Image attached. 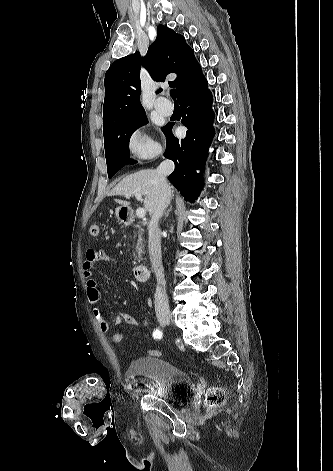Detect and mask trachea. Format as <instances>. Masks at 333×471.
Segmentation results:
<instances>
[{"mask_svg": "<svg viewBox=\"0 0 333 471\" xmlns=\"http://www.w3.org/2000/svg\"><path fill=\"white\" fill-rule=\"evenodd\" d=\"M170 96L172 97L174 102H176V91L174 89L170 91Z\"/></svg>", "mask_w": 333, "mask_h": 471, "instance_id": "3493384b", "label": "trachea"}]
</instances>
